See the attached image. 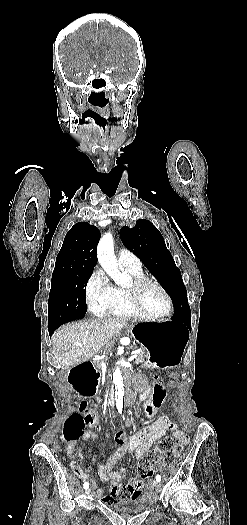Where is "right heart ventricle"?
I'll return each instance as SVG.
<instances>
[{
  "label": "right heart ventricle",
  "mask_w": 247,
  "mask_h": 525,
  "mask_svg": "<svg viewBox=\"0 0 247 525\" xmlns=\"http://www.w3.org/2000/svg\"><path fill=\"white\" fill-rule=\"evenodd\" d=\"M135 265H129L119 260L120 266L123 272L127 275L128 279H138L144 276L139 260L134 256ZM127 283V282H126ZM115 295L121 297L125 294L123 288L115 287ZM102 317H147L145 314L138 311L134 304L130 303H113L111 307L102 315Z\"/></svg>",
  "instance_id": "1"
}]
</instances>
